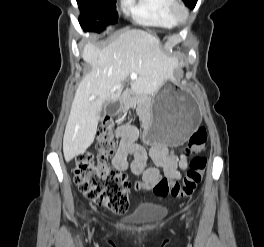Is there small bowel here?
I'll return each mask as SVG.
<instances>
[{
  "label": "small bowel",
  "instance_id": "obj_1",
  "mask_svg": "<svg viewBox=\"0 0 264 247\" xmlns=\"http://www.w3.org/2000/svg\"><path fill=\"white\" fill-rule=\"evenodd\" d=\"M119 146L113 158L112 164L115 169L124 171L129 167L128 156L133 157L130 170L135 175H142L143 181L140 184L141 189L150 190L160 180V174L157 168H147L148 156L154 160L157 166H161L165 176L170 180H178L181 177L180 170L187 167L185 157H178L169 152L165 146L154 145L149 153L136 141L138 131L133 126H121L117 129Z\"/></svg>",
  "mask_w": 264,
  "mask_h": 247
}]
</instances>
